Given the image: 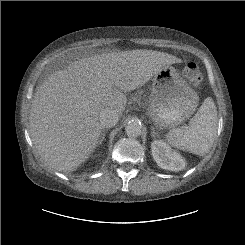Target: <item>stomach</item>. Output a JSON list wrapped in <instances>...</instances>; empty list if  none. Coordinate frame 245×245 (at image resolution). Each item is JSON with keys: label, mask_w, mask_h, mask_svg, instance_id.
Segmentation results:
<instances>
[{"label": "stomach", "mask_w": 245, "mask_h": 245, "mask_svg": "<svg viewBox=\"0 0 245 245\" xmlns=\"http://www.w3.org/2000/svg\"><path fill=\"white\" fill-rule=\"evenodd\" d=\"M199 97L173 66H165L152 79L149 116L159 128L170 129L189 119Z\"/></svg>", "instance_id": "stomach-1"}]
</instances>
